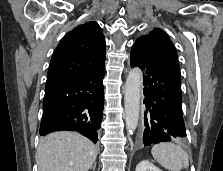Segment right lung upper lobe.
Returning <instances> with one entry per match:
<instances>
[{
    "label": "right lung upper lobe",
    "instance_id": "right-lung-upper-lobe-1",
    "mask_svg": "<svg viewBox=\"0 0 223 171\" xmlns=\"http://www.w3.org/2000/svg\"><path fill=\"white\" fill-rule=\"evenodd\" d=\"M105 38L96 22L68 32L51 58L46 88L83 78L105 65Z\"/></svg>",
    "mask_w": 223,
    "mask_h": 171
}]
</instances>
